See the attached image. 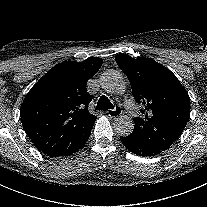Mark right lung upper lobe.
Segmentation results:
<instances>
[{
    "instance_id": "obj_1",
    "label": "right lung upper lobe",
    "mask_w": 207,
    "mask_h": 207,
    "mask_svg": "<svg viewBox=\"0 0 207 207\" xmlns=\"http://www.w3.org/2000/svg\"><path fill=\"white\" fill-rule=\"evenodd\" d=\"M103 60L64 61L50 69L28 92L20 110L23 128L36 147L59 157L70 154L91 131L96 117L89 113L87 81Z\"/></svg>"
}]
</instances>
